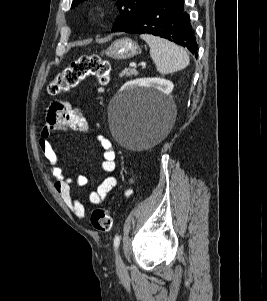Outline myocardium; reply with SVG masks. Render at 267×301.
<instances>
[{
	"instance_id": "f54148a6",
	"label": "myocardium",
	"mask_w": 267,
	"mask_h": 301,
	"mask_svg": "<svg viewBox=\"0 0 267 301\" xmlns=\"http://www.w3.org/2000/svg\"><path fill=\"white\" fill-rule=\"evenodd\" d=\"M104 14V9L101 6H94L91 10V16L93 18H99Z\"/></svg>"
}]
</instances>
